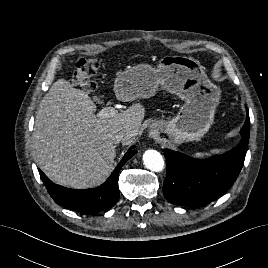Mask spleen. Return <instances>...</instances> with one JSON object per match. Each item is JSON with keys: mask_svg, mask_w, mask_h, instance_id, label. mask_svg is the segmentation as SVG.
I'll return each instance as SVG.
<instances>
[{"mask_svg": "<svg viewBox=\"0 0 268 268\" xmlns=\"http://www.w3.org/2000/svg\"><path fill=\"white\" fill-rule=\"evenodd\" d=\"M207 155H208V153H206V152H197V153L194 154V156H196V157H204V156H207Z\"/></svg>", "mask_w": 268, "mask_h": 268, "instance_id": "3e777b00", "label": "spleen"}]
</instances>
